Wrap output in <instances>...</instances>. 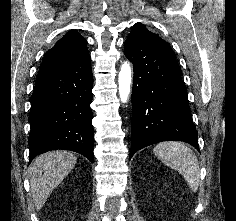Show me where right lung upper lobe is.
I'll use <instances>...</instances> for the list:
<instances>
[{
    "label": "right lung upper lobe",
    "instance_id": "obj_1",
    "mask_svg": "<svg viewBox=\"0 0 236 221\" xmlns=\"http://www.w3.org/2000/svg\"><path fill=\"white\" fill-rule=\"evenodd\" d=\"M87 41L75 30L67 32L45 55L39 74L81 65L90 60Z\"/></svg>",
    "mask_w": 236,
    "mask_h": 221
}]
</instances>
